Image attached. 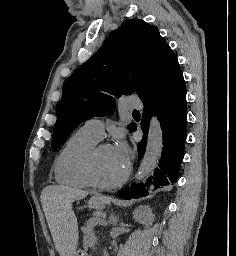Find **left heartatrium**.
I'll return each instance as SVG.
<instances>
[{"label":"left heart atrium","instance_id":"left-heart-atrium-1","mask_svg":"<svg viewBox=\"0 0 236 256\" xmlns=\"http://www.w3.org/2000/svg\"><path fill=\"white\" fill-rule=\"evenodd\" d=\"M110 149L114 156L122 163H127L129 160L130 148L124 135L118 131L114 135L113 144Z\"/></svg>","mask_w":236,"mask_h":256}]
</instances>
